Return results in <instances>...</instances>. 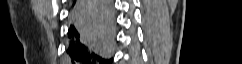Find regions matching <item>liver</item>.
<instances>
[{"instance_id": "1", "label": "liver", "mask_w": 242, "mask_h": 64, "mask_svg": "<svg viewBox=\"0 0 242 64\" xmlns=\"http://www.w3.org/2000/svg\"><path fill=\"white\" fill-rule=\"evenodd\" d=\"M81 26L89 36L103 34L107 31L100 15L97 12L90 13L88 19L81 21Z\"/></svg>"}]
</instances>
